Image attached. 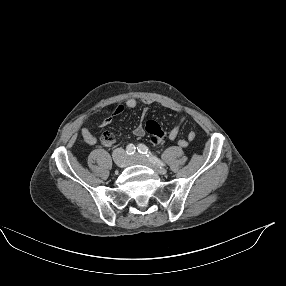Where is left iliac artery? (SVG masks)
I'll use <instances>...</instances> for the list:
<instances>
[{
	"label": "left iliac artery",
	"instance_id": "obj_1",
	"mask_svg": "<svg viewBox=\"0 0 286 286\" xmlns=\"http://www.w3.org/2000/svg\"><path fill=\"white\" fill-rule=\"evenodd\" d=\"M137 150H138L139 153L144 154L145 156H147L148 159L152 163H154V164H156L158 166H164L165 165L159 158H157L156 156H153L152 153L149 151L148 147L145 146L144 144H139L137 146Z\"/></svg>",
	"mask_w": 286,
	"mask_h": 286
}]
</instances>
